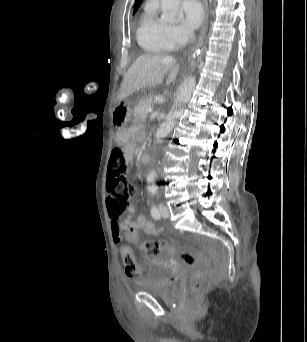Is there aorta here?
Listing matches in <instances>:
<instances>
[{"label":"aorta","mask_w":307,"mask_h":342,"mask_svg":"<svg viewBox=\"0 0 307 342\" xmlns=\"http://www.w3.org/2000/svg\"><path fill=\"white\" fill-rule=\"evenodd\" d=\"M180 4L181 0H161L162 14L160 22L175 24V22H177L178 14H181ZM195 84L196 78H194V76H189V78H186L183 84H181L176 94L174 106H172L171 112L167 114L165 122L159 126L156 132V138H158V140H156L157 144H160V138H166V136L172 132L177 120L182 116L183 110L192 96ZM150 176H157L155 170H151Z\"/></svg>","instance_id":"762f6f07"}]
</instances>
